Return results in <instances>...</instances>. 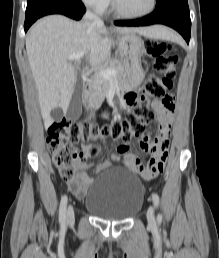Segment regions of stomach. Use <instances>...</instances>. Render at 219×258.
Masks as SVG:
<instances>
[{
  "instance_id": "obj_1",
  "label": "stomach",
  "mask_w": 219,
  "mask_h": 258,
  "mask_svg": "<svg viewBox=\"0 0 219 258\" xmlns=\"http://www.w3.org/2000/svg\"><path fill=\"white\" fill-rule=\"evenodd\" d=\"M119 54L124 62L127 83L137 88L144 79L141 57L145 52L142 39L136 33L121 35L118 41Z\"/></svg>"
}]
</instances>
